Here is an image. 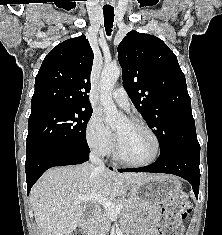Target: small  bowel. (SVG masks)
I'll return each instance as SVG.
<instances>
[{
	"label": "small bowel",
	"instance_id": "small-bowel-1",
	"mask_svg": "<svg viewBox=\"0 0 222 235\" xmlns=\"http://www.w3.org/2000/svg\"><path fill=\"white\" fill-rule=\"evenodd\" d=\"M158 214L157 212H152L150 214L149 220L147 222V228L137 235H156V227L158 223Z\"/></svg>",
	"mask_w": 222,
	"mask_h": 235
}]
</instances>
